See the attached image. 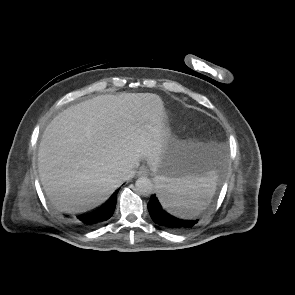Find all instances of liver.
Masks as SVG:
<instances>
[{
  "mask_svg": "<svg viewBox=\"0 0 295 295\" xmlns=\"http://www.w3.org/2000/svg\"><path fill=\"white\" fill-rule=\"evenodd\" d=\"M171 137L152 93L100 95L58 114L45 129L38 170L54 206L82 213L105 202L141 159L156 167Z\"/></svg>",
  "mask_w": 295,
  "mask_h": 295,
  "instance_id": "obj_1",
  "label": "liver"
}]
</instances>
